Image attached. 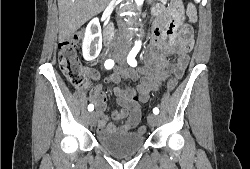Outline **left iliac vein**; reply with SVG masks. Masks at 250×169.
Masks as SVG:
<instances>
[{"label": "left iliac vein", "instance_id": "4c4485c4", "mask_svg": "<svg viewBox=\"0 0 250 169\" xmlns=\"http://www.w3.org/2000/svg\"><path fill=\"white\" fill-rule=\"evenodd\" d=\"M158 122V116L156 114L148 115V123L150 126H155Z\"/></svg>", "mask_w": 250, "mask_h": 169}]
</instances>
